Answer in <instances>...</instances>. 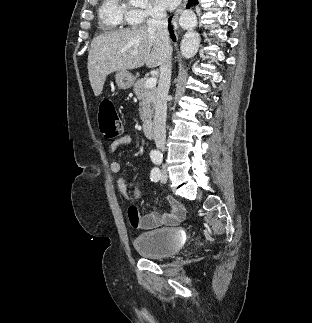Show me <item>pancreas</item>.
<instances>
[{
    "mask_svg": "<svg viewBox=\"0 0 312 323\" xmlns=\"http://www.w3.org/2000/svg\"><path fill=\"white\" fill-rule=\"evenodd\" d=\"M148 78H141L134 84L133 92L139 102V114L142 122H150L156 104V88H145Z\"/></svg>",
    "mask_w": 312,
    "mask_h": 323,
    "instance_id": "1",
    "label": "pancreas"
}]
</instances>
